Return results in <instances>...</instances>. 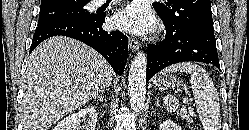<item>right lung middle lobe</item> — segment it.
<instances>
[{
	"instance_id": "1",
	"label": "right lung middle lobe",
	"mask_w": 249,
	"mask_h": 130,
	"mask_svg": "<svg viewBox=\"0 0 249 130\" xmlns=\"http://www.w3.org/2000/svg\"><path fill=\"white\" fill-rule=\"evenodd\" d=\"M88 2L79 3L73 7L57 8V9H40L38 26L66 22L87 20L94 16L90 14L84 6Z\"/></svg>"
}]
</instances>
